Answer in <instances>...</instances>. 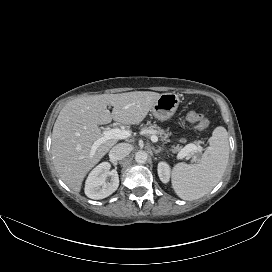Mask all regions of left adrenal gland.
Segmentation results:
<instances>
[{
    "mask_svg": "<svg viewBox=\"0 0 272 272\" xmlns=\"http://www.w3.org/2000/svg\"><path fill=\"white\" fill-rule=\"evenodd\" d=\"M153 151H154V153H155V154H158V153H160V152L162 151V148H159V149H153Z\"/></svg>",
    "mask_w": 272,
    "mask_h": 272,
    "instance_id": "1",
    "label": "left adrenal gland"
}]
</instances>
